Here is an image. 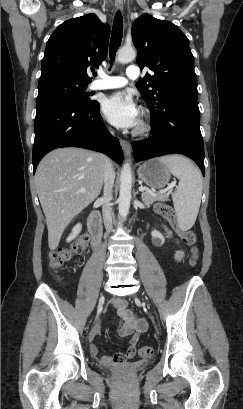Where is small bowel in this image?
Listing matches in <instances>:
<instances>
[{
	"label": "small bowel",
	"mask_w": 243,
	"mask_h": 409,
	"mask_svg": "<svg viewBox=\"0 0 243 409\" xmlns=\"http://www.w3.org/2000/svg\"><path fill=\"white\" fill-rule=\"evenodd\" d=\"M164 230L168 237L172 236L170 230L164 227ZM175 259L180 260L183 257V252L178 250L175 252ZM112 306L116 310V315L120 319V325L117 329L118 335L121 338L130 337L129 346L124 354L114 356H101L99 355V349L94 343V338L100 334L102 330L101 323H96L89 336V350L92 355L98 357V359L105 365L121 364L128 359H131L136 354V346L139 341V334L146 330V322L144 319L136 318L128 310V302L124 299H115L112 302Z\"/></svg>",
	"instance_id": "small-bowel-1"
}]
</instances>
